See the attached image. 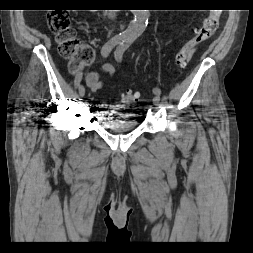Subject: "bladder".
Wrapping results in <instances>:
<instances>
[{
  "label": "bladder",
  "mask_w": 253,
  "mask_h": 253,
  "mask_svg": "<svg viewBox=\"0 0 253 253\" xmlns=\"http://www.w3.org/2000/svg\"><path fill=\"white\" fill-rule=\"evenodd\" d=\"M117 111H102L99 121L104 129L112 132H128L138 128L139 122L124 106H118Z\"/></svg>",
  "instance_id": "31cf9c89"
}]
</instances>
